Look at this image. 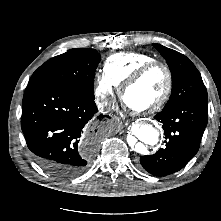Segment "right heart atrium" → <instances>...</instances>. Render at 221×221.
I'll return each instance as SVG.
<instances>
[{
    "label": "right heart atrium",
    "mask_w": 221,
    "mask_h": 221,
    "mask_svg": "<svg viewBox=\"0 0 221 221\" xmlns=\"http://www.w3.org/2000/svg\"><path fill=\"white\" fill-rule=\"evenodd\" d=\"M117 85L106 75L101 73L97 76L95 85V97L103 108L110 105Z\"/></svg>",
    "instance_id": "obj_1"
}]
</instances>
